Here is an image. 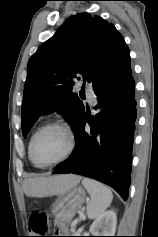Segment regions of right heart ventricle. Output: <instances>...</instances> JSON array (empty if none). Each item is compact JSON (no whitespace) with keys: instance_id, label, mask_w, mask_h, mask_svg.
Here are the masks:
<instances>
[{"instance_id":"obj_1","label":"right heart ventricle","mask_w":158,"mask_h":237,"mask_svg":"<svg viewBox=\"0 0 158 237\" xmlns=\"http://www.w3.org/2000/svg\"><path fill=\"white\" fill-rule=\"evenodd\" d=\"M30 141H31V139H30ZM30 141H29V144H28V154H29V150H30ZM29 158H30V154H29ZM34 166L37 167L36 165H34ZM37 168H39V167H37Z\"/></svg>"}]
</instances>
